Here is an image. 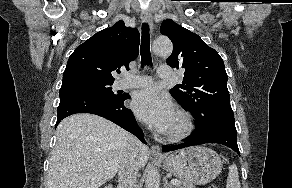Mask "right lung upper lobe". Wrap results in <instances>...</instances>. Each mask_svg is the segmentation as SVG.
<instances>
[{"instance_id":"right-lung-upper-lobe-1","label":"right lung upper lobe","mask_w":292,"mask_h":188,"mask_svg":"<svg viewBox=\"0 0 292 188\" xmlns=\"http://www.w3.org/2000/svg\"><path fill=\"white\" fill-rule=\"evenodd\" d=\"M140 35L122 20L94 34L69 57L63 80L95 78L114 81L112 71L128 64L138 55Z\"/></svg>"}]
</instances>
